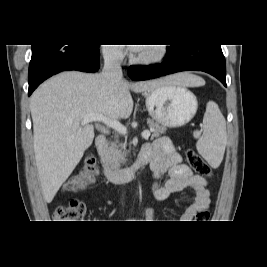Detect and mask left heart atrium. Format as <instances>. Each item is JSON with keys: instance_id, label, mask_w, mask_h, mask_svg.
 <instances>
[{"instance_id": "39dd6f15", "label": "left heart atrium", "mask_w": 267, "mask_h": 267, "mask_svg": "<svg viewBox=\"0 0 267 267\" xmlns=\"http://www.w3.org/2000/svg\"><path fill=\"white\" fill-rule=\"evenodd\" d=\"M132 49H133L134 51H137V50H138L137 47H133Z\"/></svg>"}]
</instances>
